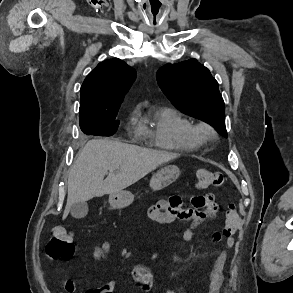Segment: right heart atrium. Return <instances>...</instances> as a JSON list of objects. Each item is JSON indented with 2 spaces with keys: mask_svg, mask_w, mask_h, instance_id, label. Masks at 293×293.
Listing matches in <instances>:
<instances>
[{
  "mask_svg": "<svg viewBox=\"0 0 293 293\" xmlns=\"http://www.w3.org/2000/svg\"><path fill=\"white\" fill-rule=\"evenodd\" d=\"M136 117H137V113H136V112H133V113L131 114V116H130V121H131L132 123H134L135 120H136Z\"/></svg>",
  "mask_w": 293,
  "mask_h": 293,
  "instance_id": "obj_1",
  "label": "right heart atrium"
}]
</instances>
